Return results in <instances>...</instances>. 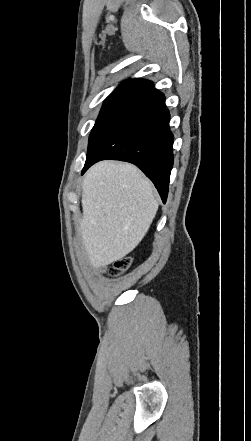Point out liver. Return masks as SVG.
<instances>
[{
    "mask_svg": "<svg viewBox=\"0 0 251 441\" xmlns=\"http://www.w3.org/2000/svg\"><path fill=\"white\" fill-rule=\"evenodd\" d=\"M80 232L94 267L129 254L146 235L158 210L152 183L129 163L101 161L82 184Z\"/></svg>",
    "mask_w": 251,
    "mask_h": 441,
    "instance_id": "liver-1",
    "label": "liver"
}]
</instances>
